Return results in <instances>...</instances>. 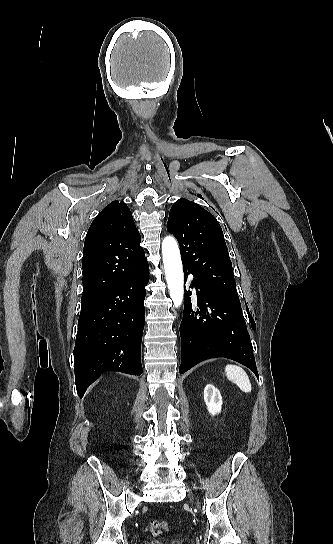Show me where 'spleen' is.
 <instances>
[{"mask_svg": "<svg viewBox=\"0 0 333 544\" xmlns=\"http://www.w3.org/2000/svg\"><path fill=\"white\" fill-rule=\"evenodd\" d=\"M228 380L236 384L243 392L250 393L252 386L247 373L240 366L228 364L225 367Z\"/></svg>", "mask_w": 333, "mask_h": 544, "instance_id": "spleen-1", "label": "spleen"}]
</instances>
